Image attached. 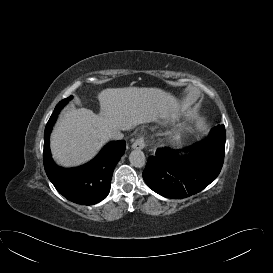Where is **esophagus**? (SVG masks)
<instances>
[{
	"mask_svg": "<svg viewBox=\"0 0 273 273\" xmlns=\"http://www.w3.org/2000/svg\"><path fill=\"white\" fill-rule=\"evenodd\" d=\"M146 146V138L144 135L140 136L135 142L132 144V148L136 150H141Z\"/></svg>",
	"mask_w": 273,
	"mask_h": 273,
	"instance_id": "esophagus-1",
	"label": "esophagus"
}]
</instances>
